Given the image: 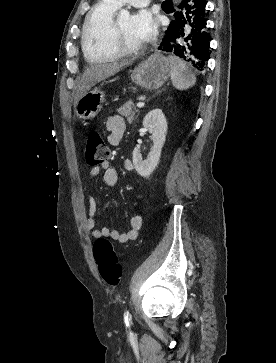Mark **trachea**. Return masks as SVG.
I'll return each instance as SVG.
<instances>
[{
  "label": "trachea",
  "instance_id": "3493384b",
  "mask_svg": "<svg viewBox=\"0 0 276 363\" xmlns=\"http://www.w3.org/2000/svg\"><path fill=\"white\" fill-rule=\"evenodd\" d=\"M170 4H171V2L169 0H166V1L163 2L162 5L165 6V5H170Z\"/></svg>",
  "mask_w": 276,
  "mask_h": 363
}]
</instances>
